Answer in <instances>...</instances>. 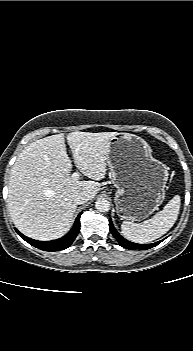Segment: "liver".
Wrapping results in <instances>:
<instances>
[{
  "label": "liver",
  "instance_id": "6515ba94",
  "mask_svg": "<svg viewBox=\"0 0 193 351\" xmlns=\"http://www.w3.org/2000/svg\"><path fill=\"white\" fill-rule=\"evenodd\" d=\"M117 132H71L67 143L76 167L89 181L73 179L64 134L26 146L11 170L8 210L16 228L26 236L48 241L64 236L77 209L76 196L93 199L107 172L110 139Z\"/></svg>",
  "mask_w": 193,
  "mask_h": 351
}]
</instances>
